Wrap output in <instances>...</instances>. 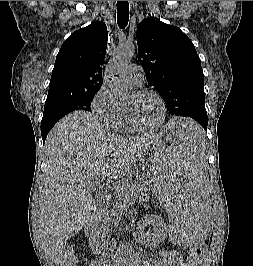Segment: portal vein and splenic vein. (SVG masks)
<instances>
[{
  "label": "portal vein and splenic vein",
  "mask_w": 253,
  "mask_h": 266,
  "mask_svg": "<svg viewBox=\"0 0 253 266\" xmlns=\"http://www.w3.org/2000/svg\"><path fill=\"white\" fill-rule=\"evenodd\" d=\"M95 180H96V182L102 183L103 178L96 177ZM102 187H105L106 189H109L110 188V186H109L108 183H103ZM108 197H110V195H108Z\"/></svg>",
  "instance_id": "obj_1"
}]
</instances>
